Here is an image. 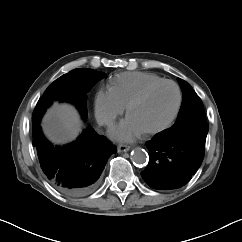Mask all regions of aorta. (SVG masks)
Here are the masks:
<instances>
[{
	"mask_svg": "<svg viewBox=\"0 0 242 242\" xmlns=\"http://www.w3.org/2000/svg\"><path fill=\"white\" fill-rule=\"evenodd\" d=\"M131 158L136 164H144L149 160V155L142 148H135L131 153Z\"/></svg>",
	"mask_w": 242,
	"mask_h": 242,
	"instance_id": "aorta-1",
	"label": "aorta"
}]
</instances>
